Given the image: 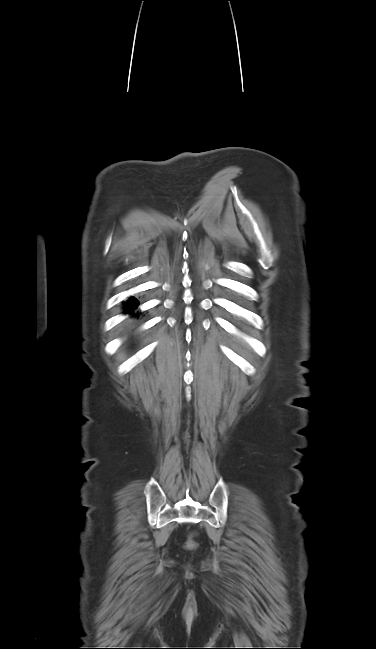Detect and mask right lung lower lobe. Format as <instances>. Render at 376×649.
Wrapping results in <instances>:
<instances>
[{
	"instance_id": "right-lung-lower-lobe-1",
	"label": "right lung lower lobe",
	"mask_w": 376,
	"mask_h": 649,
	"mask_svg": "<svg viewBox=\"0 0 376 649\" xmlns=\"http://www.w3.org/2000/svg\"><path fill=\"white\" fill-rule=\"evenodd\" d=\"M137 306H138L137 300L134 297L130 298L129 300L126 301V303H124L125 312L131 313L137 308Z\"/></svg>"
}]
</instances>
